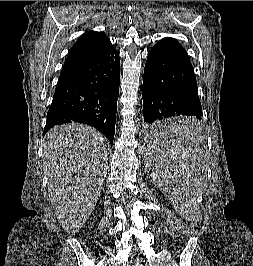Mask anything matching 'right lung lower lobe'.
Segmentation results:
<instances>
[{
	"mask_svg": "<svg viewBox=\"0 0 253 266\" xmlns=\"http://www.w3.org/2000/svg\"><path fill=\"white\" fill-rule=\"evenodd\" d=\"M119 83L120 59L115 48L60 74L43 135L55 125L80 122L98 129L112 145Z\"/></svg>",
	"mask_w": 253,
	"mask_h": 266,
	"instance_id": "1",
	"label": "right lung lower lobe"
}]
</instances>
